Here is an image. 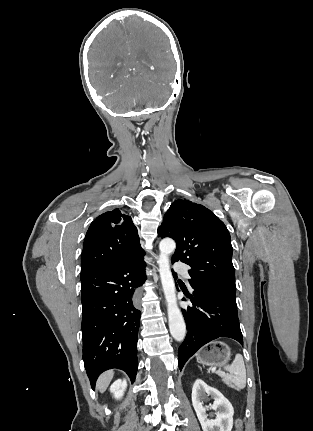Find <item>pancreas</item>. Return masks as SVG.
I'll use <instances>...</instances> for the list:
<instances>
[{
    "instance_id": "cf45deb5",
    "label": "pancreas",
    "mask_w": 313,
    "mask_h": 431,
    "mask_svg": "<svg viewBox=\"0 0 313 431\" xmlns=\"http://www.w3.org/2000/svg\"><path fill=\"white\" fill-rule=\"evenodd\" d=\"M230 387L234 388V386L232 384H228Z\"/></svg>"
}]
</instances>
